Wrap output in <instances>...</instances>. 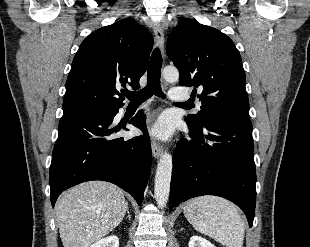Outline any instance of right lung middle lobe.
Listing matches in <instances>:
<instances>
[{"mask_svg": "<svg viewBox=\"0 0 310 247\" xmlns=\"http://www.w3.org/2000/svg\"><path fill=\"white\" fill-rule=\"evenodd\" d=\"M92 111H99V110L98 109H81V110L72 111L68 114H76V113H84V112H92Z\"/></svg>", "mask_w": 310, "mask_h": 247, "instance_id": "obj_1", "label": "right lung middle lobe"}]
</instances>
